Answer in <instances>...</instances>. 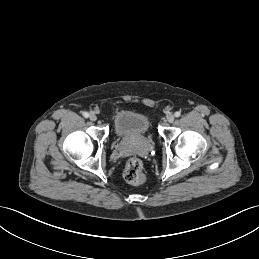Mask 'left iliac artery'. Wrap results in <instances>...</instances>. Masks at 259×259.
Masks as SVG:
<instances>
[{"label": "left iliac artery", "instance_id": "left-iliac-artery-1", "mask_svg": "<svg viewBox=\"0 0 259 259\" xmlns=\"http://www.w3.org/2000/svg\"><path fill=\"white\" fill-rule=\"evenodd\" d=\"M175 117H179L181 115V113L179 111L175 112Z\"/></svg>", "mask_w": 259, "mask_h": 259}]
</instances>
